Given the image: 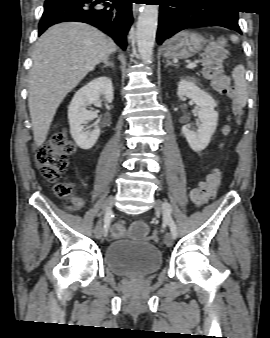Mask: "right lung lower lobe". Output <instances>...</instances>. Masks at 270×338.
<instances>
[{
    "instance_id": "right-lung-lower-lobe-1",
    "label": "right lung lower lobe",
    "mask_w": 270,
    "mask_h": 338,
    "mask_svg": "<svg viewBox=\"0 0 270 338\" xmlns=\"http://www.w3.org/2000/svg\"><path fill=\"white\" fill-rule=\"evenodd\" d=\"M133 0H46L39 23V36L51 25L64 21L91 24L126 49L132 24Z\"/></svg>"
}]
</instances>
